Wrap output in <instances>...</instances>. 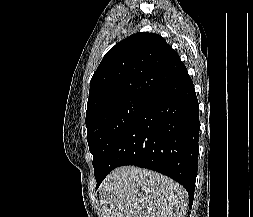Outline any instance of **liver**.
<instances>
[{
  "instance_id": "1",
  "label": "liver",
  "mask_w": 253,
  "mask_h": 217,
  "mask_svg": "<svg viewBox=\"0 0 253 217\" xmlns=\"http://www.w3.org/2000/svg\"><path fill=\"white\" fill-rule=\"evenodd\" d=\"M99 200L101 217H184L188 194L167 176L122 166L102 182Z\"/></svg>"
}]
</instances>
